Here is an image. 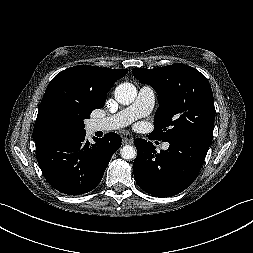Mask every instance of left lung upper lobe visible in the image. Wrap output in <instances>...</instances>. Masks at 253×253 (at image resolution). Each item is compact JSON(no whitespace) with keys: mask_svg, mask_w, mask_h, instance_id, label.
Listing matches in <instances>:
<instances>
[{"mask_svg":"<svg viewBox=\"0 0 253 253\" xmlns=\"http://www.w3.org/2000/svg\"><path fill=\"white\" fill-rule=\"evenodd\" d=\"M132 73L158 94L160 106L151 137L163 142L191 136L213 138V93L202 73L180 63L155 69L134 68Z\"/></svg>","mask_w":253,"mask_h":253,"instance_id":"1","label":"left lung upper lobe"}]
</instances>
